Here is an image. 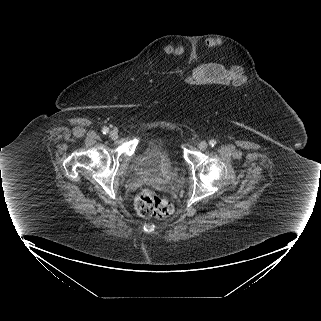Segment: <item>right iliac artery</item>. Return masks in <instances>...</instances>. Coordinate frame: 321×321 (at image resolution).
Listing matches in <instances>:
<instances>
[{
	"mask_svg": "<svg viewBox=\"0 0 321 321\" xmlns=\"http://www.w3.org/2000/svg\"><path fill=\"white\" fill-rule=\"evenodd\" d=\"M102 132H103V134H107V133L109 132V128L104 127V128L102 129Z\"/></svg>",
	"mask_w": 321,
	"mask_h": 321,
	"instance_id": "1",
	"label": "right iliac artery"
}]
</instances>
